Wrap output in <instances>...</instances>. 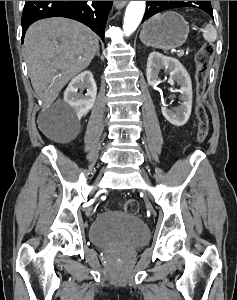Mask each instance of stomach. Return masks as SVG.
<instances>
[{
    "mask_svg": "<svg viewBox=\"0 0 237 300\" xmlns=\"http://www.w3.org/2000/svg\"><path fill=\"white\" fill-rule=\"evenodd\" d=\"M188 35L189 27L184 17L175 11H167L159 19H150L143 25L140 41L147 47L175 49L185 43Z\"/></svg>",
    "mask_w": 237,
    "mask_h": 300,
    "instance_id": "obj_1",
    "label": "stomach"
}]
</instances>
